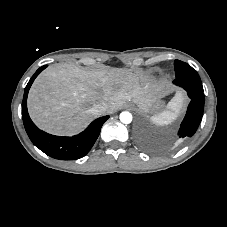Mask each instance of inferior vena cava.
Listing matches in <instances>:
<instances>
[{
    "label": "inferior vena cava",
    "instance_id": "602c4592",
    "mask_svg": "<svg viewBox=\"0 0 227 227\" xmlns=\"http://www.w3.org/2000/svg\"><path fill=\"white\" fill-rule=\"evenodd\" d=\"M107 108H108L107 103L99 102V103L93 105V107L91 108V112L95 116H99V115L104 114L106 112Z\"/></svg>",
    "mask_w": 227,
    "mask_h": 227
}]
</instances>
